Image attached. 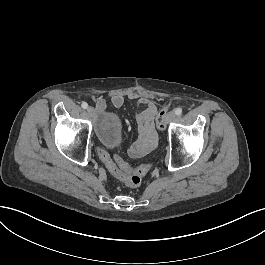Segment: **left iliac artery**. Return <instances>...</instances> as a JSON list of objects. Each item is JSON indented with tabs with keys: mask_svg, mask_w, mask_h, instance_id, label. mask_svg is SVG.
<instances>
[{
	"mask_svg": "<svg viewBox=\"0 0 265 265\" xmlns=\"http://www.w3.org/2000/svg\"><path fill=\"white\" fill-rule=\"evenodd\" d=\"M175 114L178 115V116L181 115L182 114V108H179V107L176 108L175 109Z\"/></svg>",
	"mask_w": 265,
	"mask_h": 265,
	"instance_id": "1",
	"label": "left iliac artery"
}]
</instances>
